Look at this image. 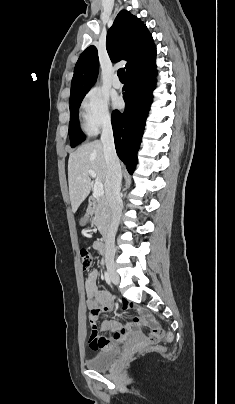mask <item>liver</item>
Returning a JSON list of instances; mask_svg holds the SVG:
<instances>
[{"instance_id": "1", "label": "liver", "mask_w": 235, "mask_h": 404, "mask_svg": "<svg viewBox=\"0 0 235 404\" xmlns=\"http://www.w3.org/2000/svg\"><path fill=\"white\" fill-rule=\"evenodd\" d=\"M89 170L95 171L97 181L104 185L106 193L107 165L103 144L98 140L83 144L69 156V195L74 213L91 191L92 183L88 173Z\"/></svg>"}]
</instances>
